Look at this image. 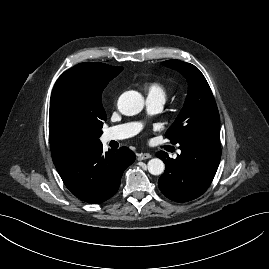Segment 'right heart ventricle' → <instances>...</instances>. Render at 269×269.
<instances>
[{"label": "right heart ventricle", "instance_id": "obj_1", "mask_svg": "<svg viewBox=\"0 0 269 269\" xmlns=\"http://www.w3.org/2000/svg\"><path fill=\"white\" fill-rule=\"evenodd\" d=\"M146 90L148 92V96H162L165 98L166 89L159 82H150L146 85Z\"/></svg>", "mask_w": 269, "mask_h": 269}]
</instances>
